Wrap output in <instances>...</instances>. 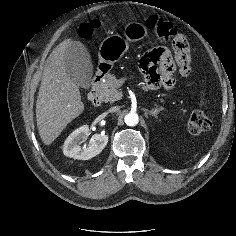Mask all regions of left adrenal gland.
<instances>
[{
    "mask_svg": "<svg viewBox=\"0 0 236 236\" xmlns=\"http://www.w3.org/2000/svg\"><path fill=\"white\" fill-rule=\"evenodd\" d=\"M161 110H163L162 107H161V108H155V109L149 111L148 114L151 115V116H154L155 118H157V114H158Z\"/></svg>",
    "mask_w": 236,
    "mask_h": 236,
    "instance_id": "obj_1",
    "label": "left adrenal gland"
}]
</instances>
